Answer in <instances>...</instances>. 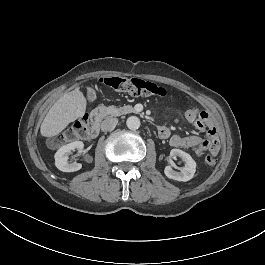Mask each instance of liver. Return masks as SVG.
<instances>
[{
	"mask_svg": "<svg viewBox=\"0 0 265 265\" xmlns=\"http://www.w3.org/2000/svg\"><path fill=\"white\" fill-rule=\"evenodd\" d=\"M86 106V98L79 88L64 94L48 110L40 126V135H59L71 122L83 116Z\"/></svg>",
	"mask_w": 265,
	"mask_h": 265,
	"instance_id": "liver-1",
	"label": "liver"
}]
</instances>
